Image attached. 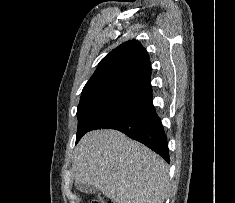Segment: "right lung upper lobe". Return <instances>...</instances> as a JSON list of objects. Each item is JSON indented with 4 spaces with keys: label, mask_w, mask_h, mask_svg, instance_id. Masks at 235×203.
<instances>
[{
    "label": "right lung upper lobe",
    "mask_w": 235,
    "mask_h": 203,
    "mask_svg": "<svg viewBox=\"0 0 235 203\" xmlns=\"http://www.w3.org/2000/svg\"><path fill=\"white\" fill-rule=\"evenodd\" d=\"M151 63L147 51L135 40L127 41L106 55L83 89L109 83L151 88Z\"/></svg>",
    "instance_id": "cb5924a9"
}]
</instances>
